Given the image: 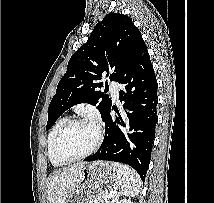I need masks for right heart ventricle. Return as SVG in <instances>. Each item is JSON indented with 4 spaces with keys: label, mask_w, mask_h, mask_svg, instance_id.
Listing matches in <instances>:
<instances>
[{
    "label": "right heart ventricle",
    "mask_w": 214,
    "mask_h": 203,
    "mask_svg": "<svg viewBox=\"0 0 214 203\" xmlns=\"http://www.w3.org/2000/svg\"><path fill=\"white\" fill-rule=\"evenodd\" d=\"M69 120L68 115H64L61 116L60 118H58V120L55 122V124L53 125L52 129L49 132L48 135V139H47V155L48 158L50 160V162L52 163V165L59 167L62 166L63 163L59 162L56 157L54 156L53 153V144H54V139L55 136L57 134V132L59 131V129Z\"/></svg>",
    "instance_id": "1"
}]
</instances>
